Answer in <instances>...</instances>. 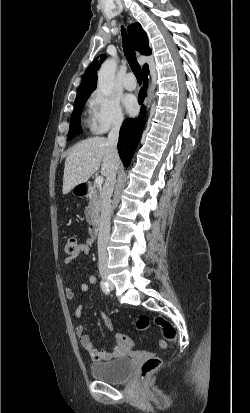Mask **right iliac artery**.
Segmentation results:
<instances>
[{"label": "right iliac artery", "mask_w": 250, "mask_h": 413, "mask_svg": "<svg viewBox=\"0 0 250 413\" xmlns=\"http://www.w3.org/2000/svg\"><path fill=\"white\" fill-rule=\"evenodd\" d=\"M100 287H101L102 291H103L106 295L109 294L110 290H109L108 284H107L105 281L102 280V281L100 282Z\"/></svg>", "instance_id": "right-iliac-artery-1"}]
</instances>
